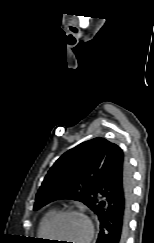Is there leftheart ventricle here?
Listing matches in <instances>:
<instances>
[{
	"instance_id": "obj_1",
	"label": "left heart ventricle",
	"mask_w": 154,
	"mask_h": 243,
	"mask_svg": "<svg viewBox=\"0 0 154 243\" xmlns=\"http://www.w3.org/2000/svg\"><path fill=\"white\" fill-rule=\"evenodd\" d=\"M87 233L86 221L79 216H65L54 225L52 235L66 243L65 240L71 239L72 243H82Z\"/></svg>"
}]
</instances>
